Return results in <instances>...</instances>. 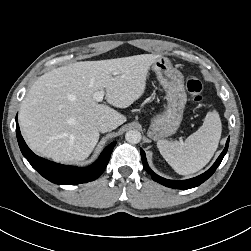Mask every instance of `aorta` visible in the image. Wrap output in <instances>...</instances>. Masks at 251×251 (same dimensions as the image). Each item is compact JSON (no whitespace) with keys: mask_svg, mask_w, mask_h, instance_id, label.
Masks as SVG:
<instances>
[{"mask_svg":"<svg viewBox=\"0 0 251 251\" xmlns=\"http://www.w3.org/2000/svg\"><path fill=\"white\" fill-rule=\"evenodd\" d=\"M125 139L131 144H137L141 141V133L137 130H129L125 134Z\"/></svg>","mask_w":251,"mask_h":251,"instance_id":"1","label":"aorta"}]
</instances>
